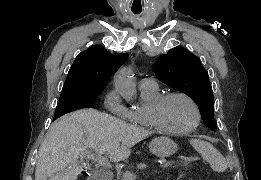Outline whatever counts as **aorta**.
<instances>
[{
	"instance_id": "1",
	"label": "aorta",
	"mask_w": 261,
	"mask_h": 180,
	"mask_svg": "<svg viewBox=\"0 0 261 180\" xmlns=\"http://www.w3.org/2000/svg\"><path fill=\"white\" fill-rule=\"evenodd\" d=\"M114 82L116 90L126 101L134 98L136 90L131 70L126 67L121 68L115 75Z\"/></svg>"
}]
</instances>
